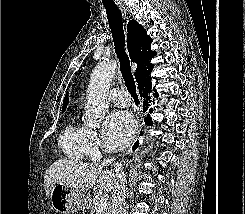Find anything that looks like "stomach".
Segmentation results:
<instances>
[{"label":"stomach","instance_id":"0dacf381","mask_svg":"<svg viewBox=\"0 0 245 214\" xmlns=\"http://www.w3.org/2000/svg\"><path fill=\"white\" fill-rule=\"evenodd\" d=\"M50 202L55 211L70 214L88 207L90 199L83 190L56 184L51 191Z\"/></svg>","mask_w":245,"mask_h":214}]
</instances>
